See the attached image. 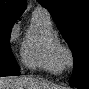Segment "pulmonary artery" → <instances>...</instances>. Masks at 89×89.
<instances>
[{"instance_id":"obj_1","label":"pulmonary artery","mask_w":89,"mask_h":89,"mask_svg":"<svg viewBox=\"0 0 89 89\" xmlns=\"http://www.w3.org/2000/svg\"><path fill=\"white\" fill-rule=\"evenodd\" d=\"M36 11H38V12H44V13H48L46 9H44V8H40V7L37 8Z\"/></svg>"}]
</instances>
